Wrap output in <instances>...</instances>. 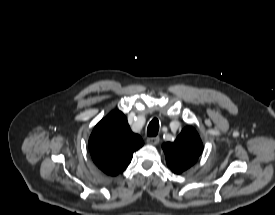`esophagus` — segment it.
I'll return each mask as SVG.
<instances>
[{
    "instance_id": "1",
    "label": "esophagus",
    "mask_w": 275,
    "mask_h": 215,
    "mask_svg": "<svg viewBox=\"0 0 275 215\" xmlns=\"http://www.w3.org/2000/svg\"><path fill=\"white\" fill-rule=\"evenodd\" d=\"M159 141H160V138L158 136L147 138V143L151 145H157Z\"/></svg>"
}]
</instances>
